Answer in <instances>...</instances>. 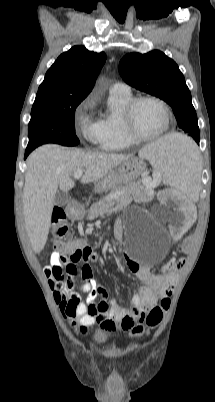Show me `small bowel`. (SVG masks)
<instances>
[{"label": "small bowel", "instance_id": "obj_1", "mask_svg": "<svg viewBox=\"0 0 215 402\" xmlns=\"http://www.w3.org/2000/svg\"><path fill=\"white\" fill-rule=\"evenodd\" d=\"M115 230L116 235L121 237L119 221L116 222ZM80 251L82 258L77 263H83L81 274L84 283L82 285L76 283L78 268L66 274L54 271L53 265L62 258L59 253L52 254L51 264L44 268V274L50 279L59 294L62 316L81 334L87 333L89 328L97 323L106 331H114L118 328L132 329L135 322L142 320L159 299L167 298L173 291L174 273L153 274L131 261L129 268L143 285L132 297L130 305L126 308L121 307L114 300L108 299L106 290L98 285L93 277L89 264L98 259L97 253L86 243L83 244ZM79 291L85 293L84 299ZM97 297H100L98 301Z\"/></svg>", "mask_w": 215, "mask_h": 402}]
</instances>
